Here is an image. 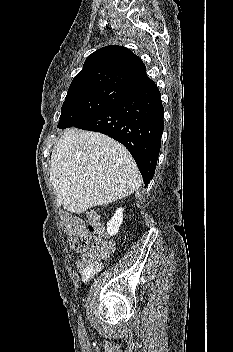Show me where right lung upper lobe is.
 <instances>
[{
	"mask_svg": "<svg viewBox=\"0 0 233 352\" xmlns=\"http://www.w3.org/2000/svg\"><path fill=\"white\" fill-rule=\"evenodd\" d=\"M116 84L136 92L154 84L147 76L142 60L128 48L110 45L88 56L83 69L73 79L69 90Z\"/></svg>",
	"mask_w": 233,
	"mask_h": 352,
	"instance_id": "cb5924a9",
	"label": "right lung upper lobe"
}]
</instances>
